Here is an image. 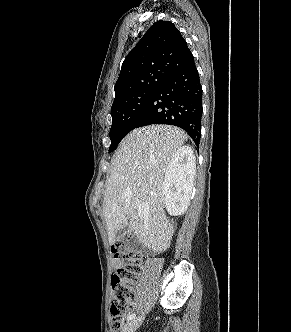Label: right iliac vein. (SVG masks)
I'll return each instance as SVG.
<instances>
[{"mask_svg":"<svg viewBox=\"0 0 291 332\" xmlns=\"http://www.w3.org/2000/svg\"><path fill=\"white\" fill-rule=\"evenodd\" d=\"M142 317L135 318L128 322L122 329V332H135L142 323Z\"/></svg>","mask_w":291,"mask_h":332,"instance_id":"right-iliac-vein-1","label":"right iliac vein"}]
</instances>
